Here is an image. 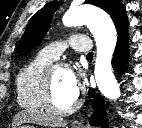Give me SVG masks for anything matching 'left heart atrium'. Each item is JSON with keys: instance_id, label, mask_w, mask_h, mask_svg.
Segmentation results:
<instances>
[{"instance_id": "1", "label": "left heart atrium", "mask_w": 142, "mask_h": 128, "mask_svg": "<svg viewBox=\"0 0 142 128\" xmlns=\"http://www.w3.org/2000/svg\"><path fill=\"white\" fill-rule=\"evenodd\" d=\"M66 80L68 84L78 93L82 86L80 73L77 70H73V69L67 70Z\"/></svg>"}]
</instances>
